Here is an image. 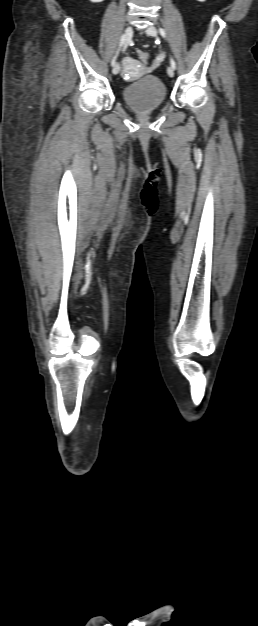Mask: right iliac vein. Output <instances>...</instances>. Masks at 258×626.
<instances>
[{
    "label": "right iliac vein",
    "mask_w": 258,
    "mask_h": 626,
    "mask_svg": "<svg viewBox=\"0 0 258 626\" xmlns=\"http://www.w3.org/2000/svg\"><path fill=\"white\" fill-rule=\"evenodd\" d=\"M123 35H124V40H125L124 45H125V47H126V46L128 45V43L130 42L131 37H132V35H133V28H132L131 26H128V27L125 29L124 34H123ZM119 71H120V65L117 63V64L113 67L112 72H113V74H115V75H116V74H118V73H119Z\"/></svg>",
    "instance_id": "1"
}]
</instances>
